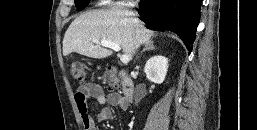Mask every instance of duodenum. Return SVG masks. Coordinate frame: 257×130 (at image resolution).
Listing matches in <instances>:
<instances>
[{
  "label": "duodenum",
  "instance_id": "duodenum-1",
  "mask_svg": "<svg viewBox=\"0 0 257 130\" xmlns=\"http://www.w3.org/2000/svg\"><path fill=\"white\" fill-rule=\"evenodd\" d=\"M123 95L126 101H131L134 94V84L131 78L127 75L123 77Z\"/></svg>",
  "mask_w": 257,
  "mask_h": 130
}]
</instances>
